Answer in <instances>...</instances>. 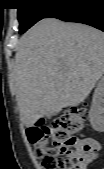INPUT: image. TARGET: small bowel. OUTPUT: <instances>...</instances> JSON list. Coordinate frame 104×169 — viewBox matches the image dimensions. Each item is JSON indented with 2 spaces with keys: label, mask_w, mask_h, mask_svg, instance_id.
I'll return each instance as SVG.
<instances>
[{
  "label": "small bowel",
  "mask_w": 104,
  "mask_h": 169,
  "mask_svg": "<svg viewBox=\"0 0 104 169\" xmlns=\"http://www.w3.org/2000/svg\"><path fill=\"white\" fill-rule=\"evenodd\" d=\"M89 140L94 144V150L95 153H97L101 149L100 143L93 139H89Z\"/></svg>",
  "instance_id": "1"
}]
</instances>
